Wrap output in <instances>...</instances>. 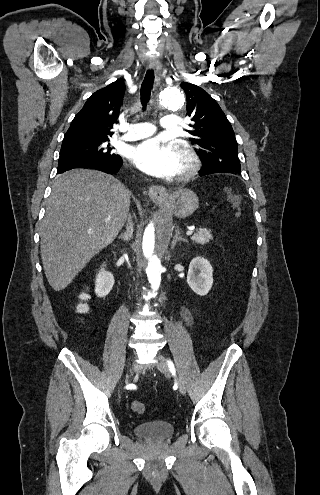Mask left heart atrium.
<instances>
[{
    "label": "left heart atrium",
    "mask_w": 320,
    "mask_h": 495,
    "mask_svg": "<svg viewBox=\"0 0 320 495\" xmlns=\"http://www.w3.org/2000/svg\"><path fill=\"white\" fill-rule=\"evenodd\" d=\"M129 158L141 171L151 176L165 178L178 173L179 157L176 150L156 138L134 146Z\"/></svg>",
    "instance_id": "39dd6f15"
}]
</instances>
